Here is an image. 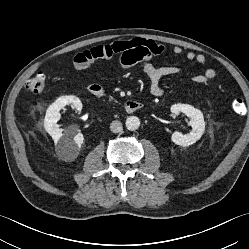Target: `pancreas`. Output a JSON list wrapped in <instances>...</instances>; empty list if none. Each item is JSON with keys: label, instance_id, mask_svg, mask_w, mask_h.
I'll list each match as a JSON object with an SVG mask.
<instances>
[{"label": "pancreas", "instance_id": "pancreas-1", "mask_svg": "<svg viewBox=\"0 0 249 249\" xmlns=\"http://www.w3.org/2000/svg\"><path fill=\"white\" fill-rule=\"evenodd\" d=\"M110 100L112 101V100H113V98H112V97H110Z\"/></svg>", "mask_w": 249, "mask_h": 249}]
</instances>
